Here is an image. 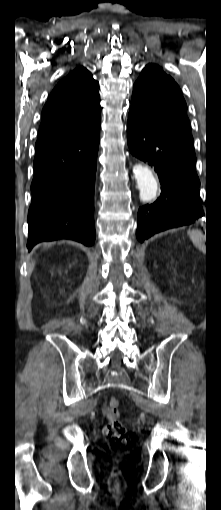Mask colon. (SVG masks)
<instances>
[{
	"instance_id": "1",
	"label": "colon",
	"mask_w": 221,
	"mask_h": 510,
	"mask_svg": "<svg viewBox=\"0 0 221 510\" xmlns=\"http://www.w3.org/2000/svg\"><path fill=\"white\" fill-rule=\"evenodd\" d=\"M119 401L112 398L109 402V423L105 426L103 432L107 437L109 449L119 451L125 449L130 444L129 433L124 424L118 419Z\"/></svg>"
}]
</instances>
